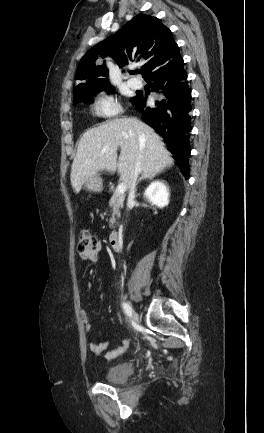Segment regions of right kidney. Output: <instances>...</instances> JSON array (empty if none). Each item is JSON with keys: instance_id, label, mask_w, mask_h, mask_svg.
Instances as JSON below:
<instances>
[{"instance_id": "right-kidney-1", "label": "right kidney", "mask_w": 264, "mask_h": 433, "mask_svg": "<svg viewBox=\"0 0 264 433\" xmlns=\"http://www.w3.org/2000/svg\"><path fill=\"white\" fill-rule=\"evenodd\" d=\"M144 196L152 204L159 208H163L169 204V190L161 181L152 182L145 190Z\"/></svg>"}]
</instances>
